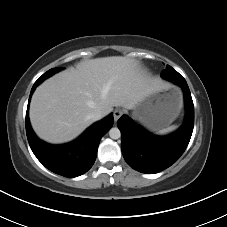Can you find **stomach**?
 Segmentation results:
<instances>
[{
	"instance_id": "1",
	"label": "stomach",
	"mask_w": 227,
	"mask_h": 227,
	"mask_svg": "<svg viewBox=\"0 0 227 227\" xmlns=\"http://www.w3.org/2000/svg\"><path fill=\"white\" fill-rule=\"evenodd\" d=\"M181 94L177 89L148 94L135 108L133 116L147 128L157 130L169 125L179 114Z\"/></svg>"
}]
</instances>
